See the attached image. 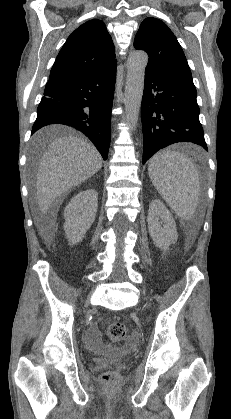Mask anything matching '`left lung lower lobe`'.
<instances>
[{"label":"left lung lower lobe","instance_id":"0a47b994","mask_svg":"<svg viewBox=\"0 0 231 419\" xmlns=\"http://www.w3.org/2000/svg\"><path fill=\"white\" fill-rule=\"evenodd\" d=\"M193 81L145 72L141 104L143 164L159 149L192 142L207 149Z\"/></svg>","mask_w":231,"mask_h":419}]
</instances>
